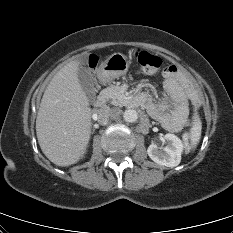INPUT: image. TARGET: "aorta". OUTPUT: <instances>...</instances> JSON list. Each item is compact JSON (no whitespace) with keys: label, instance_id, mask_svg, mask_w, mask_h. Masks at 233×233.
Instances as JSON below:
<instances>
[{"label":"aorta","instance_id":"aorta-1","mask_svg":"<svg viewBox=\"0 0 233 233\" xmlns=\"http://www.w3.org/2000/svg\"><path fill=\"white\" fill-rule=\"evenodd\" d=\"M123 118L126 122L133 123L138 119V113L133 109H128L123 112Z\"/></svg>","mask_w":233,"mask_h":233}]
</instances>
